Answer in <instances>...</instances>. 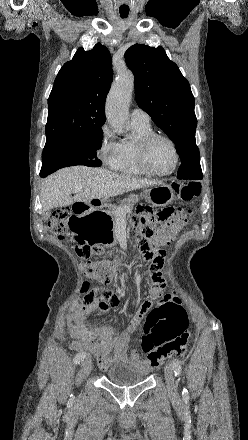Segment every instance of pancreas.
Here are the masks:
<instances>
[{
	"label": "pancreas",
	"mask_w": 248,
	"mask_h": 440,
	"mask_svg": "<svg viewBox=\"0 0 248 440\" xmlns=\"http://www.w3.org/2000/svg\"><path fill=\"white\" fill-rule=\"evenodd\" d=\"M137 195L131 194L124 199L119 206H112L108 210V214L112 217L113 221H117L119 218L118 212L124 211L126 214L131 213L133 206L138 202Z\"/></svg>",
	"instance_id": "1"
}]
</instances>
